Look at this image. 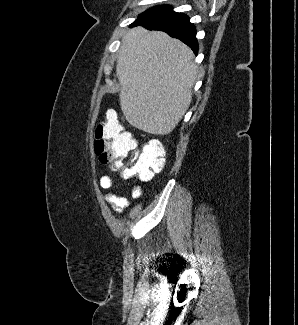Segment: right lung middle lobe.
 <instances>
[{
    "instance_id": "right-lung-middle-lobe-1",
    "label": "right lung middle lobe",
    "mask_w": 298,
    "mask_h": 325,
    "mask_svg": "<svg viewBox=\"0 0 298 325\" xmlns=\"http://www.w3.org/2000/svg\"><path fill=\"white\" fill-rule=\"evenodd\" d=\"M173 13L170 6H156L142 13L137 20H150Z\"/></svg>"
}]
</instances>
